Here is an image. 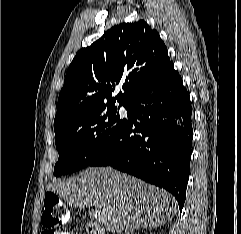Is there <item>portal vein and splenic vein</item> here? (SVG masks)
<instances>
[{
    "mask_svg": "<svg viewBox=\"0 0 241 234\" xmlns=\"http://www.w3.org/2000/svg\"><path fill=\"white\" fill-rule=\"evenodd\" d=\"M95 214L98 216V219H99V220L102 219V216H101L100 212L97 211L96 209H95Z\"/></svg>",
    "mask_w": 241,
    "mask_h": 234,
    "instance_id": "portal-vein-and-splenic-vein-1",
    "label": "portal vein and splenic vein"
}]
</instances>
